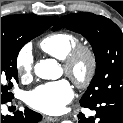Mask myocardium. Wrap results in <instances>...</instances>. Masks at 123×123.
Returning <instances> with one entry per match:
<instances>
[{
  "label": "myocardium",
  "instance_id": "1",
  "mask_svg": "<svg viewBox=\"0 0 123 123\" xmlns=\"http://www.w3.org/2000/svg\"><path fill=\"white\" fill-rule=\"evenodd\" d=\"M86 62V70L83 74L76 72L77 65ZM65 74L79 88L88 87L93 81L98 68V59L94 48L87 44L76 45L62 60Z\"/></svg>",
  "mask_w": 123,
  "mask_h": 123
}]
</instances>
